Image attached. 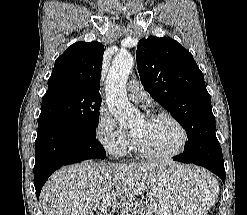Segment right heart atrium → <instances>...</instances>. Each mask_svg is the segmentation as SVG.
Segmentation results:
<instances>
[{
	"instance_id": "right-heart-atrium-1",
	"label": "right heart atrium",
	"mask_w": 247,
	"mask_h": 215,
	"mask_svg": "<svg viewBox=\"0 0 247 215\" xmlns=\"http://www.w3.org/2000/svg\"><path fill=\"white\" fill-rule=\"evenodd\" d=\"M94 131L96 139L110 155L122 157L127 153L131 137L104 107L99 109Z\"/></svg>"
}]
</instances>
